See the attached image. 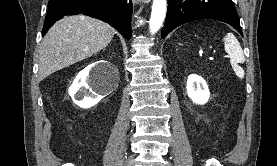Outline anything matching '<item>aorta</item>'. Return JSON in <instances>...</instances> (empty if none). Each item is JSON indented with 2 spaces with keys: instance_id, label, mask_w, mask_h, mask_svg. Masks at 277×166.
Returning a JSON list of instances; mask_svg holds the SVG:
<instances>
[{
  "instance_id": "762f6f07",
  "label": "aorta",
  "mask_w": 277,
  "mask_h": 166,
  "mask_svg": "<svg viewBox=\"0 0 277 166\" xmlns=\"http://www.w3.org/2000/svg\"><path fill=\"white\" fill-rule=\"evenodd\" d=\"M166 10V0H153L152 13L149 22L151 34H155L162 26Z\"/></svg>"
}]
</instances>
